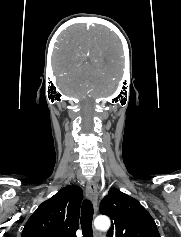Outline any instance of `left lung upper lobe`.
Here are the masks:
<instances>
[{
	"label": "left lung upper lobe",
	"mask_w": 181,
	"mask_h": 237,
	"mask_svg": "<svg viewBox=\"0 0 181 237\" xmlns=\"http://www.w3.org/2000/svg\"><path fill=\"white\" fill-rule=\"evenodd\" d=\"M100 213L113 220L107 237H160L154 219L140 202L116 188L102 199Z\"/></svg>",
	"instance_id": "5c2ea615"
}]
</instances>
